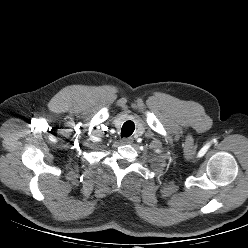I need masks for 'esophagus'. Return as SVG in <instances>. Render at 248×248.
Instances as JSON below:
<instances>
[{
  "label": "esophagus",
  "mask_w": 248,
  "mask_h": 248,
  "mask_svg": "<svg viewBox=\"0 0 248 248\" xmlns=\"http://www.w3.org/2000/svg\"><path fill=\"white\" fill-rule=\"evenodd\" d=\"M133 142V138H123L122 143L123 144H131Z\"/></svg>",
  "instance_id": "1"
}]
</instances>
